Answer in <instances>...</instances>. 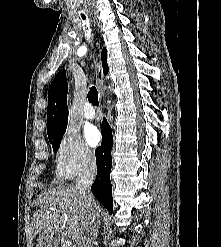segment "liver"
<instances>
[{
    "mask_svg": "<svg viewBox=\"0 0 221 247\" xmlns=\"http://www.w3.org/2000/svg\"><path fill=\"white\" fill-rule=\"evenodd\" d=\"M39 206L31 222L32 235L55 232L61 225L77 240L83 235L88 215L75 186L57 187L43 191L35 201ZM98 213L100 212L97 204Z\"/></svg>",
    "mask_w": 221,
    "mask_h": 247,
    "instance_id": "liver-1",
    "label": "liver"
}]
</instances>
